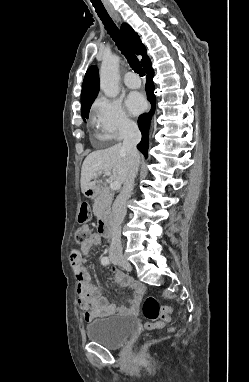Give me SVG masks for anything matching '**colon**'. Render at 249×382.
<instances>
[{"label": "colon", "instance_id": "5ec220e1", "mask_svg": "<svg viewBox=\"0 0 249 382\" xmlns=\"http://www.w3.org/2000/svg\"><path fill=\"white\" fill-rule=\"evenodd\" d=\"M89 212V205L87 203H83L79 212V221L81 222V226L75 233V240L80 245L85 243L90 237V229L86 224L89 217ZM142 313L148 320V322L145 323V328L153 329L168 323L170 321L172 310L169 307L161 308L157 298L155 296L148 295L142 303Z\"/></svg>", "mask_w": 249, "mask_h": 382}]
</instances>
